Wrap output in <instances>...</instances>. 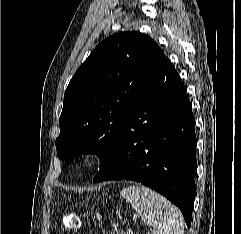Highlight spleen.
Returning a JSON list of instances; mask_svg holds the SVG:
<instances>
[{
    "label": "spleen",
    "mask_w": 241,
    "mask_h": 234,
    "mask_svg": "<svg viewBox=\"0 0 241 234\" xmlns=\"http://www.w3.org/2000/svg\"><path fill=\"white\" fill-rule=\"evenodd\" d=\"M121 196L153 227L152 234H184L182 214L159 193L137 184L124 188Z\"/></svg>",
    "instance_id": "obj_1"
}]
</instances>
